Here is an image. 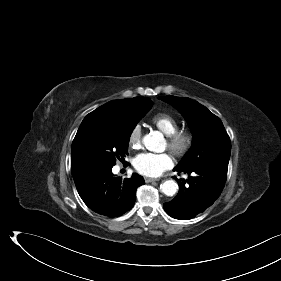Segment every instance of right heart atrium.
Wrapping results in <instances>:
<instances>
[{
	"label": "right heart atrium",
	"mask_w": 281,
	"mask_h": 281,
	"mask_svg": "<svg viewBox=\"0 0 281 281\" xmlns=\"http://www.w3.org/2000/svg\"><path fill=\"white\" fill-rule=\"evenodd\" d=\"M142 140V128L140 124L133 126L129 133L128 144L131 148H138Z\"/></svg>",
	"instance_id": "d8ad5b80"
}]
</instances>
